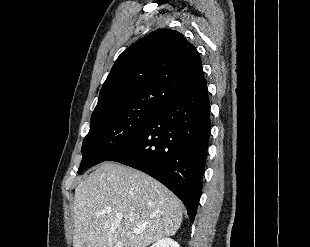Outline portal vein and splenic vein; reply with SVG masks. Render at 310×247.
Returning <instances> with one entry per match:
<instances>
[{"mask_svg":"<svg viewBox=\"0 0 310 247\" xmlns=\"http://www.w3.org/2000/svg\"><path fill=\"white\" fill-rule=\"evenodd\" d=\"M108 212H110V210H108ZM134 233L137 234V233H139V231H138V230H135Z\"/></svg>","mask_w":310,"mask_h":247,"instance_id":"1","label":"portal vein and splenic vein"}]
</instances>
